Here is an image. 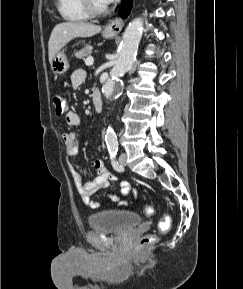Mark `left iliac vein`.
Wrapping results in <instances>:
<instances>
[{"label": "left iliac vein", "instance_id": "left-iliac-vein-1", "mask_svg": "<svg viewBox=\"0 0 243 289\" xmlns=\"http://www.w3.org/2000/svg\"><path fill=\"white\" fill-rule=\"evenodd\" d=\"M119 162L122 167L127 165V156L125 153H122L119 157Z\"/></svg>", "mask_w": 243, "mask_h": 289}]
</instances>
